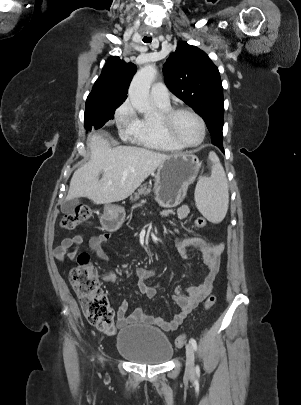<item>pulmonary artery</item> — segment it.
<instances>
[{
	"label": "pulmonary artery",
	"mask_w": 301,
	"mask_h": 405,
	"mask_svg": "<svg viewBox=\"0 0 301 405\" xmlns=\"http://www.w3.org/2000/svg\"><path fill=\"white\" fill-rule=\"evenodd\" d=\"M150 96L155 104L169 106V92L163 83H156L152 86Z\"/></svg>",
	"instance_id": "obj_1"
}]
</instances>
